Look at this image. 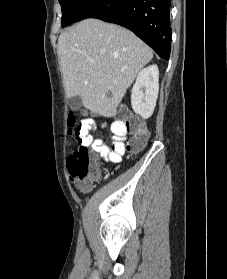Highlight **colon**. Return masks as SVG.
Masks as SVG:
<instances>
[{
  "instance_id": "1",
  "label": "colon",
  "mask_w": 227,
  "mask_h": 279,
  "mask_svg": "<svg viewBox=\"0 0 227 279\" xmlns=\"http://www.w3.org/2000/svg\"><path fill=\"white\" fill-rule=\"evenodd\" d=\"M120 114L122 116L120 123L127 132L132 134V139L126 144V149L131 152L141 151L148 141V131L138 118L129 115L126 108H121ZM86 125L87 120L78 121L74 112L69 114V135L76 137L78 147L68 156L67 168L73 179H79V187L82 190L88 189L98 175V157L89 148L92 139L86 129Z\"/></svg>"
}]
</instances>
